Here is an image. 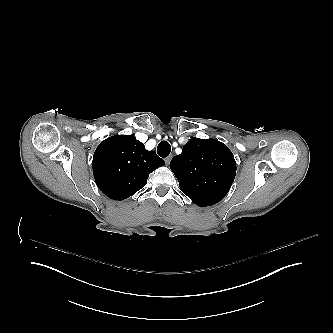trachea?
<instances>
[{
  "label": "trachea",
  "mask_w": 333,
  "mask_h": 333,
  "mask_svg": "<svg viewBox=\"0 0 333 333\" xmlns=\"http://www.w3.org/2000/svg\"><path fill=\"white\" fill-rule=\"evenodd\" d=\"M171 152V146L167 141H162L159 143L157 148V153L160 157L165 158Z\"/></svg>",
  "instance_id": "1"
}]
</instances>
